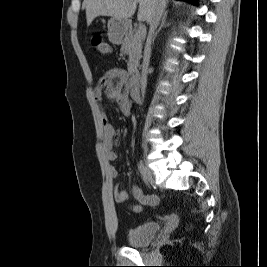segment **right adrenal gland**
Here are the masks:
<instances>
[{
  "label": "right adrenal gland",
  "mask_w": 267,
  "mask_h": 267,
  "mask_svg": "<svg viewBox=\"0 0 267 267\" xmlns=\"http://www.w3.org/2000/svg\"><path fill=\"white\" fill-rule=\"evenodd\" d=\"M167 14H168V11H165L164 14H163V16H162L161 24H160L158 30L155 32V34H154V36H153V39H152V42H153V43H154V40H155L157 34H158L159 31L161 30V28L164 27V26H166V25H168V24H166Z\"/></svg>",
  "instance_id": "1"
}]
</instances>
